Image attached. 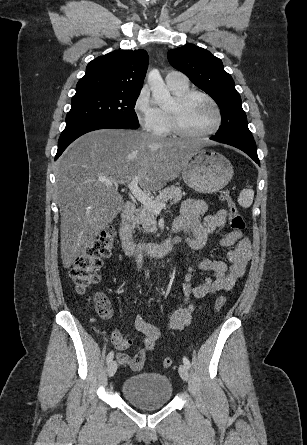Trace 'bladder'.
Here are the masks:
<instances>
[{
  "instance_id": "31cf9c89",
  "label": "bladder",
  "mask_w": 307,
  "mask_h": 445,
  "mask_svg": "<svg viewBox=\"0 0 307 445\" xmlns=\"http://www.w3.org/2000/svg\"><path fill=\"white\" fill-rule=\"evenodd\" d=\"M123 397L143 410L159 409L172 398L173 387L167 376L160 373H140L128 377L122 384Z\"/></svg>"
}]
</instances>
